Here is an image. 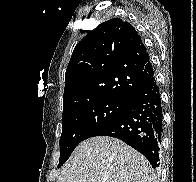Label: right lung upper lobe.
I'll list each match as a JSON object with an SVG mask.
<instances>
[{"instance_id":"cb5924a9","label":"right lung upper lobe","mask_w":196,"mask_h":182,"mask_svg":"<svg viewBox=\"0 0 196 182\" xmlns=\"http://www.w3.org/2000/svg\"><path fill=\"white\" fill-rule=\"evenodd\" d=\"M153 74L135 28L110 19L76 45L65 74L63 112L101 97L129 101Z\"/></svg>"}]
</instances>
